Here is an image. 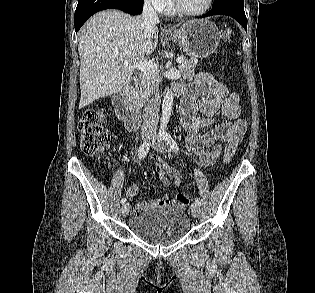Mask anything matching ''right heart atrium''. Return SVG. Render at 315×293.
I'll list each match as a JSON object with an SVG mask.
<instances>
[{
    "label": "right heart atrium",
    "mask_w": 315,
    "mask_h": 293,
    "mask_svg": "<svg viewBox=\"0 0 315 293\" xmlns=\"http://www.w3.org/2000/svg\"><path fill=\"white\" fill-rule=\"evenodd\" d=\"M147 1L157 11H163L169 3V0H147Z\"/></svg>",
    "instance_id": "d8ad5b80"
}]
</instances>
